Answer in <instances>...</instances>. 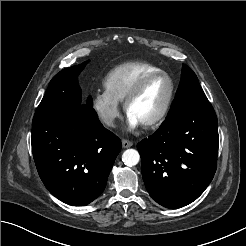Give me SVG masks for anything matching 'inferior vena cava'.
<instances>
[{
  "label": "inferior vena cava",
  "mask_w": 246,
  "mask_h": 246,
  "mask_svg": "<svg viewBox=\"0 0 246 246\" xmlns=\"http://www.w3.org/2000/svg\"><path fill=\"white\" fill-rule=\"evenodd\" d=\"M103 122L108 125V126H113L114 125V121L113 118L111 117H104L103 118Z\"/></svg>",
  "instance_id": "obj_1"
}]
</instances>
